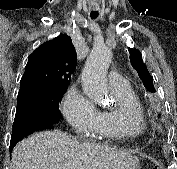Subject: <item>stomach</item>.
<instances>
[{"label":"stomach","instance_id":"stomach-1","mask_svg":"<svg viewBox=\"0 0 177 169\" xmlns=\"http://www.w3.org/2000/svg\"><path fill=\"white\" fill-rule=\"evenodd\" d=\"M133 169H140V165L136 164V166Z\"/></svg>","mask_w":177,"mask_h":169}]
</instances>
